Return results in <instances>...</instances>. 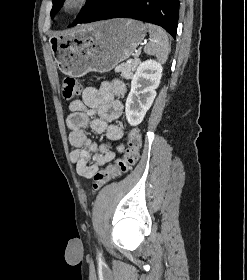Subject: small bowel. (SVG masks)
I'll return each instance as SVG.
<instances>
[{"label": "small bowel", "mask_w": 247, "mask_h": 280, "mask_svg": "<svg viewBox=\"0 0 247 280\" xmlns=\"http://www.w3.org/2000/svg\"><path fill=\"white\" fill-rule=\"evenodd\" d=\"M126 85L121 80L104 81L99 87H87L81 99L69 104L70 114L66 119L70 129L69 142L75 147L70 159L76 164L77 173L85 178L94 174L114 156L115 143L124 135V125L119 121L123 112L120 98L126 94ZM90 127L94 133L104 134L106 141L93 142L85 133ZM121 151L122 146L117 148Z\"/></svg>", "instance_id": "small-bowel-1"}]
</instances>
